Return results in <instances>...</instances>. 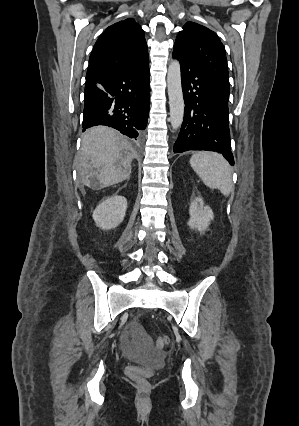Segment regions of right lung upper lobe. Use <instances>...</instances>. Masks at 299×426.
I'll use <instances>...</instances> for the list:
<instances>
[{
    "mask_svg": "<svg viewBox=\"0 0 299 426\" xmlns=\"http://www.w3.org/2000/svg\"><path fill=\"white\" fill-rule=\"evenodd\" d=\"M148 62L144 31L134 19L128 18L109 26L98 38L86 78L139 68Z\"/></svg>",
    "mask_w": 299,
    "mask_h": 426,
    "instance_id": "cb5924a9",
    "label": "right lung upper lobe"
}]
</instances>
